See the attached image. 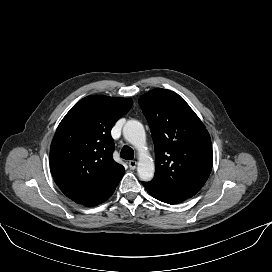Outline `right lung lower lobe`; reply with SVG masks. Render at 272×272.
Here are the masks:
<instances>
[{"mask_svg":"<svg viewBox=\"0 0 272 272\" xmlns=\"http://www.w3.org/2000/svg\"><path fill=\"white\" fill-rule=\"evenodd\" d=\"M124 173L117 176L106 188H104L100 193L96 196L88 200L87 202L83 203L84 206L92 207L98 204L103 203L106 201L114 192L115 188L117 187L118 183L120 182Z\"/></svg>","mask_w":272,"mask_h":272,"instance_id":"98d812e1","label":"right lung lower lobe"}]
</instances>
